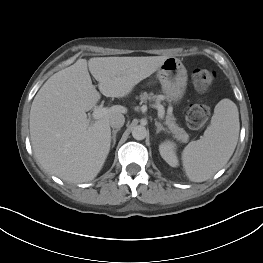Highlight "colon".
<instances>
[{
	"mask_svg": "<svg viewBox=\"0 0 263 263\" xmlns=\"http://www.w3.org/2000/svg\"><path fill=\"white\" fill-rule=\"evenodd\" d=\"M195 88L200 92L207 91L215 81L216 74L208 69H196L192 75ZM209 109L202 104H192L186 111V121L191 128L201 127L207 120Z\"/></svg>",
	"mask_w": 263,
	"mask_h": 263,
	"instance_id": "obj_1",
	"label": "colon"
}]
</instances>
